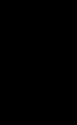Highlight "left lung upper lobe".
<instances>
[{"instance_id":"left-lung-upper-lobe-1","label":"left lung upper lobe","mask_w":77,"mask_h":125,"mask_svg":"<svg viewBox=\"0 0 77 125\" xmlns=\"http://www.w3.org/2000/svg\"><path fill=\"white\" fill-rule=\"evenodd\" d=\"M64 25L62 27H65L64 31H65L66 37H68L69 39H71V37L73 36L71 30H70V28H69V26L67 24L65 26Z\"/></svg>"}]
</instances>
